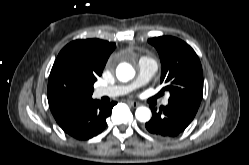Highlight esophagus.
Masks as SVG:
<instances>
[{"instance_id": "1", "label": "esophagus", "mask_w": 249, "mask_h": 165, "mask_svg": "<svg viewBox=\"0 0 249 165\" xmlns=\"http://www.w3.org/2000/svg\"><path fill=\"white\" fill-rule=\"evenodd\" d=\"M127 103L130 105V106H132V107H134V108H136V107H138L140 104L138 103V102H136V101H127Z\"/></svg>"}]
</instances>
